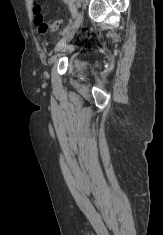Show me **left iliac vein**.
<instances>
[{"label": "left iliac vein", "instance_id": "1", "mask_svg": "<svg viewBox=\"0 0 163 235\" xmlns=\"http://www.w3.org/2000/svg\"><path fill=\"white\" fill-rule=\"evenodd\" d=\"M81 23H82V14L81 12H78L71 27L66 31L64 36L57 43L55 47V52H60V51L67 52L69 50V48L67 47V44L73 39L76 32L80 28Z\"/></svg>", "mask_w": 163, "mask_h": 235}]
</instances>
